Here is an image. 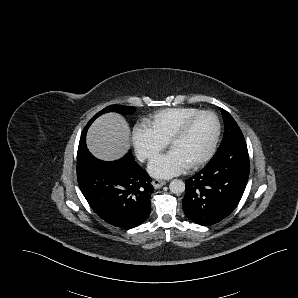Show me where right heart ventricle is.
Masks as SVG:
<instances>
[{
  "label": "right heart ventricle",
  "mask_w": 298,
  "mask_h": 298,
  "mask_svg": "<svg viewBox=\"0 0 298 298\" xmlns=\"http://www.w3.org/2000/svg\"><path fill=\"white\" fill-rule=\"evenodd\" d=\"M201 111L195 107H175L162 109L154 113L147 120L150 130L160 139L166 141V137L182 120Z\"/></svg>",
  "instance_id": "obj_1"
}]
</instances>
